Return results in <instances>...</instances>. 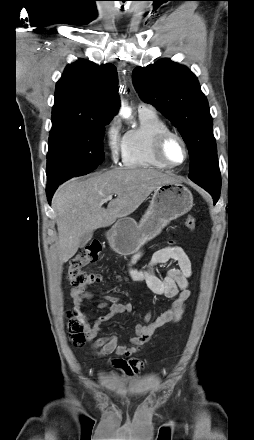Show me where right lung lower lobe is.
Here are the masks:
<instances>
[{
    "instance_id": "right-lung-lower-lobe-1",
    "label": "right lung lower lobe",
    "mask_w": 254,
    "mask_h": 440,
    "mask_svg": "<svg viewBox=\"0 0 254 440\" xmlns=\"http://www.w3.org/2000/svg\"><path fill=\"white\" fill-rule=\"evenodd\" d=\"M58 185L59 184L47 186V197H48L49 203H50L52 195H53L55 189L58 187Z\"/></svg>"
}]
</instances>
